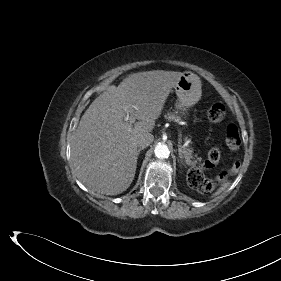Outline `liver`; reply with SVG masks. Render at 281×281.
I'll use <instances>...</instances> for the list:
<instances>
[{"mask_svg":"<svg viewBox=\"0 0 281 281\" xmlns=\"http://www.w3.org/2000/svg\"><path fill=\"white\" fill-rule=\"evenodd\" d=\"M183 73L153 70L109 86L85 111L71 142L77 177L92 191L117 195L132 183L137 138L154 129L171 89ZM138 121L125 120L126 108Z\"/></svg>","mask_w":281,"mask_h":281,"instance_id":"obj_1","label":"liver"}]
</instances>
